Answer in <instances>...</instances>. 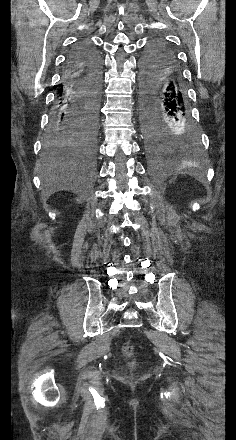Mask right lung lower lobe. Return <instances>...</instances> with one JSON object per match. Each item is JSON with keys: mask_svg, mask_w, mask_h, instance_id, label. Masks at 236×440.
Wrapping results in <instances>:
<instances>
[{"mask_svg": "<svg viewBox=\"0 0 236 440\" xmlns=\"http://www.w3.org/2000/svg\"><path fill=\"white\" fill-rule=\"evenodd\" d=\"M102 82V61L97 49L88 41L75 45L58 85L55 108L50 121L51 131L80 129L86 120L88 102L82 96L86 85ZM94 151V150H92Z\"/></svg>", "mask_w": 236, "mask_h": 440, "instance_id": "1", "label": "right lung lower lobe"}]
</instances>
